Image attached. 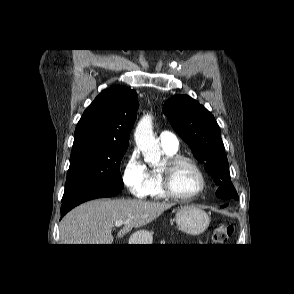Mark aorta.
I'll return each mask as SVG.
<instances>
[{"instance_id":"1","label":"aorta","mask_w":294,"mask_h":294,"mask_svg":"<svg viewBox=\"0 0 294 294\" xmlns=\"http://www.w3.org/2000/svg\"><path fill=\"white\" fill-rule=\"evenodd\" d=\"M135 141L141 150L144 160L150 166H158L161 160V150L153 133L152 116L145 115L139 121L135 133Z\"/></svg>"}]
</instances>
